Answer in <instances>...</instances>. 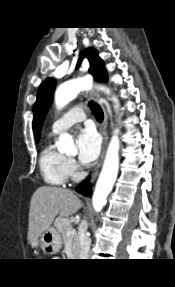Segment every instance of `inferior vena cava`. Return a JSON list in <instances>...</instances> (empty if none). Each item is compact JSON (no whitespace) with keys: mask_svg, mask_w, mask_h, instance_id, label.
<instances>
[{"mask_svg":"<svg viewBox=\"0 0 175 287\" xmlns=\"http://www.w3.org/2000/svg\"><path fill=\"white\" fill-rule=\"evenodd\" d=\"M87 223L82 224L79 230V259H88L91 240L86 234Z\"/></svg>","mask_w":175,"mask_h":287,"instance_id":"1","label":"inferior vena cava"}]
</instances>
